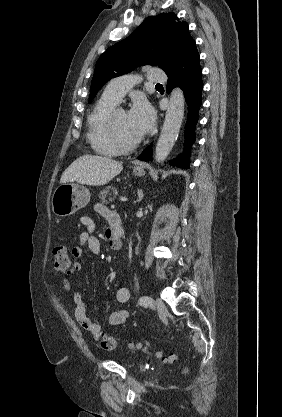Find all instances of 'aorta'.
<instances>
[{
    "instance_id": "1",
    "label": "aorta",
    "mask_w": 282,
    "mask_h": 417,
    "mask_svg": "<svg viewBox=\"0 0 282 417\" xmlns=\"http://www.w3.org/2000/svg\"><path fill=\"white\" fill-rule=\"evenodd\" d=\"M185 100L183 90L174 88L169 98L164 124L158 138L155 150L157 162H163L170 154L179 134L183 122Z\"/></svg>"
}]
</instances>
